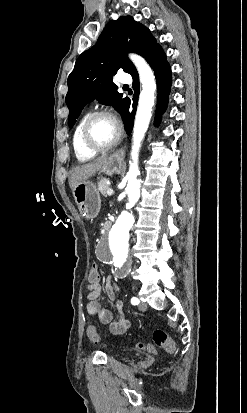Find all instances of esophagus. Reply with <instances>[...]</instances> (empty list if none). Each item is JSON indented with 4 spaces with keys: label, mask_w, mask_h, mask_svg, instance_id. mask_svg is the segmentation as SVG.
Returning <instances> with one entry per match:
<instances>
[{
    "label": "esophagus",
    "mask_w": 247,
    "mask_h": 413,
    "mask_svg": "<svg viewBox=\"0 0 247 413\" xmlns=\"http://www.w3.org/2000/svg\"><path fill=\"white\" fill-rule=\"evenodd\" d=\"M115 155H119L120 157L124 158L125 156V148H119L118 150H116V152L114 153Z\"/></svg>",
    "instance_id": "1"
}]
</instances>
